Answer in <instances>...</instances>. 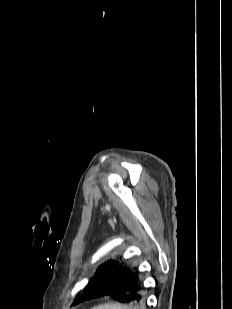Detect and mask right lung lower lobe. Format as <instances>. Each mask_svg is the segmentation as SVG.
I'll return each instance as SVG.
<instances>
[{
	"label": "right lung lower lobe",
	"mask_w": 232,
	"mask_h": 309,
	"mask_svg": "<svg viewBox=\"0 0 232 309\" xmlns=\"http://www.w3.org/2000/svg\"><path fill=\"white\" fill-rule=\"evenodd\" d=\"M117 272L130 273L133 277L116 280L113 284L93 287L87 292V300L110 296L119 302L130 304L134 309H144L145 289L138 278V274L123 266L118 267Z\"/></svg>",
	"instance_id": "98d812e1"
}]
</instances>
